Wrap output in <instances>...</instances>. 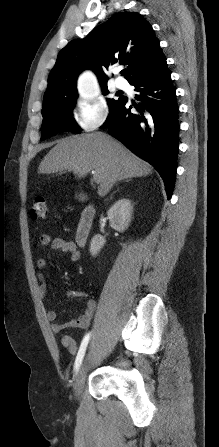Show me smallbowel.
I'll use <instances>...</instances> for the list:
<instances>
[{
  "label": "small bowel",
  "mask_w": 219,
  "mask_h": 447,
  "mask_svg": "<svg viewBox=\"0 0 219 447\" xmlns=\"http://www.w3.org/2000/svg\"><path fill=\"white\" fill-rule=\"evenodd\" d=\"M40 244L42 246H49L52 250L56 252H67L69 253L70 259L72 261H78L80 259V251L75 244L74 241L60 238V237H53L49 234H42L40 236ZM37 270L39 272V286L38 290L41 295H45L48 291V285L47 281L42 275V272L47 267V260L40 258L37 260L36 263ZM66 297L68 299H80V298H86V303L84 310L82 314L68 322L60 323L57 322V312L55 310H48L46 313L47 320L51 323V331L53 333H60L64 329L72 328V329H86L89 327L96 302L94 299L90 298L86 292L80 290V289H69L66 291ZM61 343L62 345L68 349V351L71 354H76L77 352V344L76 342L69 336V335H63L61 337Z\"/></svg>",
  "instance_id": "c3829d8e"
}]
</instances>
